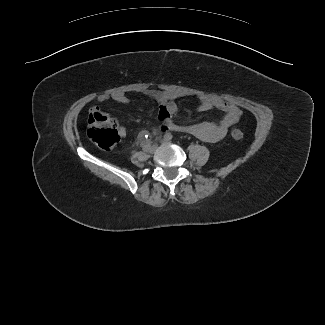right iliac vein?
<instances>
[{
    "label": "right iliac vein",
    "mask_w": 325,
    "mask_h": 325,
    "mask_svg": "<svg viewBox=\"0 0 325 325\" xmlns=\"http://www.w3.org/2000/svg\"><path fill=\"white\" fill-rule=\"evenodd\" d=\"M150 154H154L157 151V146L156 145H152L148 148L147 150Z\"/></svg>",
    "instance_id": "63e3f726"
}]
</instances>
